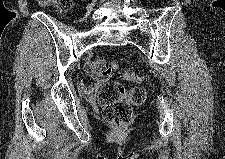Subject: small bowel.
<instances>
[{"mask_svg": "<svg viewBox=\"0 0 225 159\" xmlns=\"http://www.w3.org/2000/svg\"><path fill=\"white\" fill-rule=\"evenodd\" d=\"M81 88L89 95L93 94L97 89V84H87L85 81L80 82Z\"/></svg>", "mask_w": 225, "mask_h": 159, "instance_id": "c3829d8e", "label": "small bowel"}]
</instances>
